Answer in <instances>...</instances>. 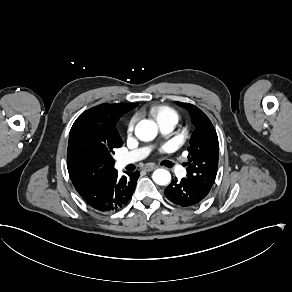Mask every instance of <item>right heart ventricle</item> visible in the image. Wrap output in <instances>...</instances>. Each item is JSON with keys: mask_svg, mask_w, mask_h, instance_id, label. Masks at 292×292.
I'll return each mask as SVG.
<instances>
[{"mask_svg": "<svg viewBox=\"0 0 292 292\" xmlns=\"http://www.w3.org/2000/svg\"><path fill=\"white\" fill-rule=\"evenodd\" d=\"M149 113L159 122L162 119L175 118L178 120V113L166 105H154L149 109Z\"/></svg>", "mask_w": 292, "mask_h": 292, "instance_id": "e07e8e85", "label": "right heart ventricle"}]
</instances>
